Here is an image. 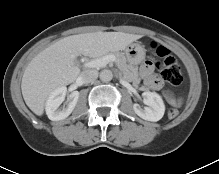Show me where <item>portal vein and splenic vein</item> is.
I'll return each instance as SVG.
<instances>
[{
	"label": "portal vein and splenic vein",
	"mask_w": 219,
	"mask_h": 174,
	"mask_svg": "<svg viewBox=\"0 0 219 174\" xmlns=\"http://www.w3.org/2000/svg\"><path fill=\"white\" fill-rule=\"evenodd\" d=\"M115 60H116L115 56H113V55H106V56H104L102 58L95 59V60H92L90 62H86L84 64V66L88 67V68H99V67H104L109 62L115 61Z\"/></svg>",
	"instance_id": "obj_1"
}]
</instances>
